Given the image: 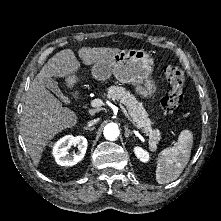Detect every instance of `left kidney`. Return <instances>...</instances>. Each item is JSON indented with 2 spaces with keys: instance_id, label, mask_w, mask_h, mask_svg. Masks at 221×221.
I'll return each mask as SVG.
<instances>
[{
  "instance_id": "obj_1",
  "label": "left kidney",
  "mask_w": 221,
  "mask_h": 221,
  "mask_svg": "<svg viewBox=\"0 0 221 221\" xmlns=\"http://www.w3.org/2000/svg\"><path fill=\"white\" fill-rule=\"evenodd\" d=\"M134 153L142 162H147L150 159L149 153L141 147H135Z\"/></svg>"
}]
</instances>
